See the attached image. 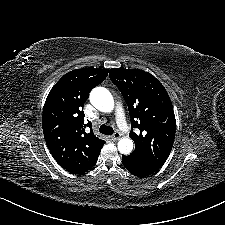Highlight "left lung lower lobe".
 Listing matches in <instances>:
<instances>
[{"label":"left lung lower lobe","mask_w":225,"mask_h":225,"mask_svg":"<svg viewBox=\"0 0 225 225\" xmlns=\"http://www.w3.org/2000/svg\"><path fill=\"white\" fill-rule=\"evenodd\" d=\"M125 168L137 177H146L159 169V167L152 166L141 162L132 156H122Z\"/></svg>","instance_id":"0a47b994"}]
</instances>
